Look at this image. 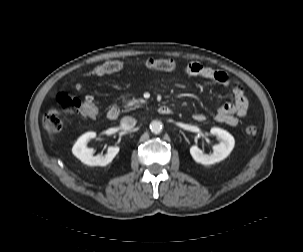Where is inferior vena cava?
<instances>
[{"mask_svg":"<svg viewBox=\"0 0 303 252\" xmlns=\"http://www.w3.org/2000/svg\"><path fill=\"white\" fill-rule=\"evenodd\" d=\"M136 124V119L131 116H125L121 119V126L126 129H132Z\"/></svg>","mask_w":303,"mask_h":252,"instance_id":"602c4592","label":"inferior vena cava"}]
</instances>
